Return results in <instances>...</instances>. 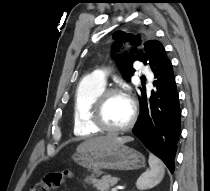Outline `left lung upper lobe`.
Returning <instances> with one entry per match:
<instances>
[{
	"instance_id": "left-lung-upper-lobe-1",
	"label": "left lung upper lobe",
	"mask_w": 210,
	"mask_h": 191,
	"mask_svg": "<svg viewBox=\"0 0 210 191\" xmlns=\"http://www.w3.org/2000/svg\"><path fill=\"white\" fill-rule=\"evenodd\" d=\"M113 39L117 40L115 44V49L119 46H121L122 41H134L135 43H138L141 41L140 35H132V34H126L121 31H117L113 34ZM144 50L145 54L136 53L134 55L132 53L131 57H121L120 60L123 61V75L128 78L131 76L134 72V69L132 68V63L135 60L142 61L144 64H149L151 68L154 67V65L160 61L162 56H166L165 50L163 45L157 41V40H149L145 42L144 44ZM119 59V57L117 58ZM140 90V88H139Z\"/></svg>"
}]
</instances>
